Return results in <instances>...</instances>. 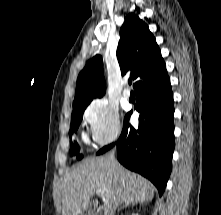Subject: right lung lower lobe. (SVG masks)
I'll use <instances>...</instances> for the list:
<instances>
[{"label": "right lung lower lobe", "instance_id": "obj_1", "mask_svg": "<svg viewBox=\"0 0 221 215\" xmlns=\"http://www.w3.org/2000/svg\"><path fill=\"white\" fill-rule=\"evenodd\" d=\"M135 92L139 126L135 129L130 125L131 112L127 113L117 141V157L126 168L148 178L161 196L172 170L174 151L173 93L167 71L139 85ZM113 146L103 147L97 155Z\"/></svg>", "mask_w": 221, "mask_h": 215}]
</instances>
